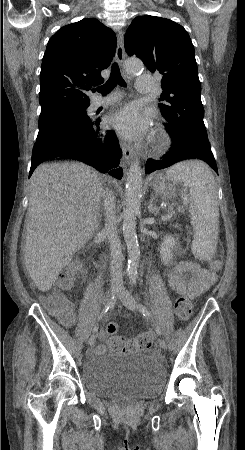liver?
I'll return each mask as SVG.
<instances>
[{
	"label": "liver",
	"mask_w": 245,
	"mask_h": 450,
	"mask_svg": "<svg viewBox=\"0 0 245 450\" xmlns=\"http://www.w3.org/2000/svg\"><path fill=\"white\" fill-rule=\"evenodd\" d=\"M103 186L79 162L37 167L30 181L24 245L26 269L38 289L48 291L63 268L99 227Z\"/></svg>",
	"instance_id": "1"
}]
</instances>
